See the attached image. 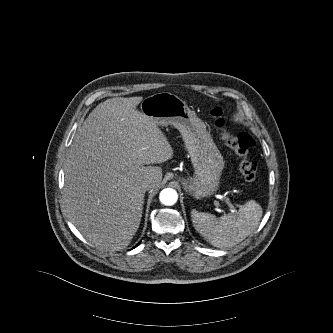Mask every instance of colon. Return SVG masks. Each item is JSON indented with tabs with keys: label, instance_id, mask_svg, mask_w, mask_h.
I'll use <instances>...</instances> for the list:
<instances>
[{
	"label": "colon",
	"instance_id": "1",
	"mask_svg": "<svg viewBox=\"0 0 333 333\" xmlns=\"http://www.w3.org/2000/svg\"><path fill=\"white\" fill-rule=\"evenodd\" d=\"M209 115L214 119L215 126L220 130L221 137L240 157L239 170L246 182L254 184L256 181L257 166L249 157V151L255 146L254 139L246 132L236 135L229 132L225 127L223 110L220 107L209 108Z\"/></svg>",
	"mask_w": 333,
	"mask_h": 333
}]
</instances>
